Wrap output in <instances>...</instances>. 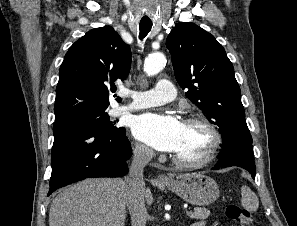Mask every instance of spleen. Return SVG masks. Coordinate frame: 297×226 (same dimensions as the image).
<instances>
[{"label":"spleen","mask_w":297,"mask_h":226,"mask_svg":"<svg viewBox=\"0 0 297 226\" xmlns=\"http://www.w3.org/2000/svg\"><path fill=\"white\" fill-rule=\"evenodd\" d=\"M241 205L249 212H254L259 207V199L257 195L248 187H241Z\"/></svg>","instance_id":"spleen-1"}]
</instances>
